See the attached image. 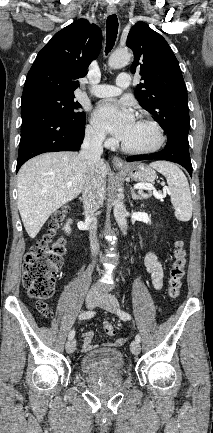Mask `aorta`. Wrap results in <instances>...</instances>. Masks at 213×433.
<instances>
[{
	"mask_svg": "<svg viewBox=\"0 0 213 433\" xmlns=\"http://www.w3.org/2000/svg\"><path fill=\"white\" fill-rule=\"evenodd\" d=\"M131 59V54L127 49L114 51L108 60V65L112 69H119L126 66ZM114 217L120 229L126 234L127 230V211L124 202L118 197L114 200Z\"/></svg>",
	"mask_w": 213,
	"mask_h": 433,
	"instance_id": "1",
	"label": "aorta"
}]
</instances>
